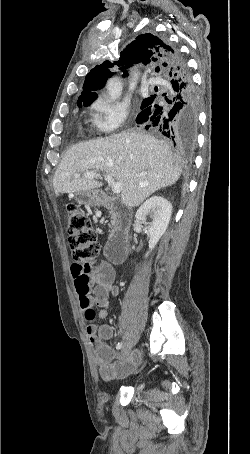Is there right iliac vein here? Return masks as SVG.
I'll use <instances>...</instances> for the list:
<instances>
[{
	"label": "right iliac vein",
	"instance_id": "1",
	"mask_svg": "<svg viewBox=\"0 0 250 454\" xmlns=\"http://www.w3.org/2000/svg\"><path fill=\"white\" fill-rule=\"evenodd\" d=\"M130 350H131V345L130 343H125L122 350H121V356L122 357H126L129 355L130 353Z\"/></svg>",
	"mask_w": 250,
	"mask_h": 454
}]
</instances>
